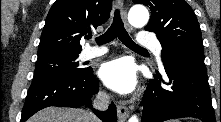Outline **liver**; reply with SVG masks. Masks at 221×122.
Instances as JSON below:
<instances>
[{
  "label": "liver",
  "instance_id": "liver-1",
  "mask_svg": "<svg viewBox=\"0 0 221 122\" xmlns=\"http://www.w3.org/2000/svg\"><path fill=\"white\" fill-rule=\"evenodd\" d=\"M98 119L83 109L47 107L35 115L28 122H98Z\"/></svg>",
  "mask_w": 221,
  "mask_h": 122
}]
</instances>
